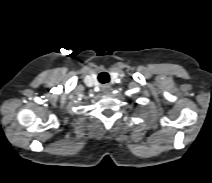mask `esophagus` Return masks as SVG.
Returning a JSON list of instances; mask_svg holds the SVG:
<instances>
[{
	"mask_svg": "<svg viewBox=\"0 0 212 183\" xmlns=\"http://www.w3.org/2000/svg\"><path fill=\"white\" fill-rule=\"evenodd\" d=\"M102 90L105 94H108L111 90V87L108 85H105V86H103Z\"/></svg>",
	"mask_w": 212,
	"mask_h": 183,
	"instance_id": "34e87169",
	"label": "esophagus"
}]
</instances>
